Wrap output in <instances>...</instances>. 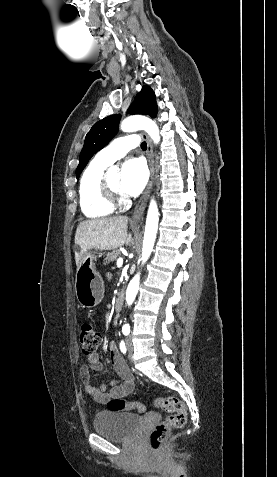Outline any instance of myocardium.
Listing matches in <instances>:
<instances>
[{
	"label": "myocardium",
	"instance_id": "f54148a6",
	"mask_svg": "<svg viewBox=\"0 0 277 477\" xmlns=\"http://www.w3.org/2000/svg\"><path fill=\"white\" fill-rule=\"evenodd\" d=\"M99 193L102 199L109 205L115 207L121 204V194L119 191L115 190L108 179V174L104 173L100 184H99Z\"/></svg>",
	"mask_w": 277,
	"mask_h": 477
}]
</instances>
